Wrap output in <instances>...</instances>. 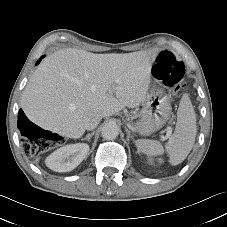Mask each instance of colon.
<instances>
[{"label": "colon", "instance_id": "obj_1", "mask_svg": "<svg viewBox=\"0 0 227 227\" xmlns=\"http://www.w3.org/2000/svg\"><path fill=\"white\" fill-rule=\"evenodd\" d=\"M152 72L157 79L161 80L174 93H178L184 86L185 65L182 61L177 60L171 52L164 51L158 55ZM33 134L32 140L24 142V152L34 155L47 151L51 134L42 130H37Z\"/></svg>", "mask_w": 227, "mask_h": 227}]
</instances>
